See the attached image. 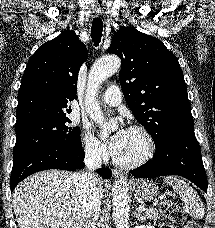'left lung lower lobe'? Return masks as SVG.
I'll list each match as a JSON object with an SVG mask.
<instances>
[{
    "label": "left lung lower lobe",
    "instance_id": "left-lung-lower-lobe-1",
    "mask_svg": "<svg viewBox=\"0 0 215 228\" xmlns=\"http://www.w3.org/2000/svg\"><path fill=\"white\" fill-rule=\"evenodd\" d=\"M137 178L180 175L207 192V177L194 129L173 133L159 145L153 160L130 171Z\"/></svg>",
    "mask_w": 215,
    "mask_h": 228
}]
</instances>
